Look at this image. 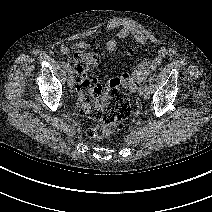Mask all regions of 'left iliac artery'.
Returning a JSON list of instances; mask_svg holds the SVG:
<instances>
[{
  "mask_svg": "<svg viewBox=\"0 0 212 212\" xmlns=\"http://www.w3.org/2000/svg\"><path fill=\"white\" fill-rule=\"evenodd\" d=\"M143 88H144V92H145V98L149 99L150 98V88H149V84L147 81L144 82Z\"/></svg>",
  "mask_w": 212,
  "mask_h": 212,
  "instance_id": "left-iliac-artery-1",
  "label": "left iliac artery"
}]
</instances>
